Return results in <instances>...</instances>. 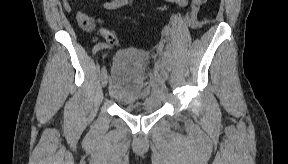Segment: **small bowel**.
Instances as JSON below:
<instances>
[{"mask_svg":"<svg viewBox=\"0 0 288 164\" xmlns=\"http://www.w3.org/2000/svg\"><path fill=\"white\" fill-rule=\"evenodd\" d=\"M116 6H117L116 2L106 3V5H105V7H106L107 9H114V8H116ZM82 14H84V13L79 12V13H77V16H76V17H78V16H80V15H82ZM85 15H86V14H85ZM86 16H87V15H86ZM87 17H88V16H87Z\"/></svg>","mask_w":288,"mask_h":164,"instance_id":"obj_1","label":"small bowel"}]
</instances>
